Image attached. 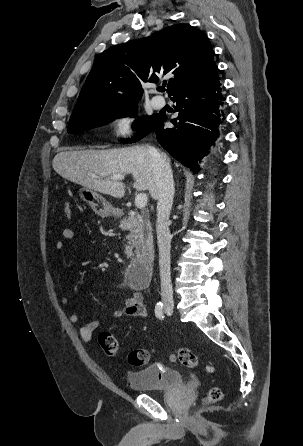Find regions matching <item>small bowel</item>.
Instances as JSON below:
<instances>
[{
  "mask_svg": "<svg viewBox=\"0 0 303 446\" xmlns=\"http://www.w3.org/2000/svg\"><path fill=\"white\" fill-rule=\"evenodd\" d=\"M62 237L64 241H70L75 237V232L71 228H65L62 231ZM64 241L59 240L55 243L56 250H62L64 248ZM132 290L131 295L125 300L123 306L117 308L112 316L115 319L122 317H148V310L143 303V296L138 289H135L130 283L126 284ZM61 302L63 304L68 303L66 295H62ZM69 322L78 325V333L80 337L88 342L92 339L95 331L100 327L101 322L98 320H92L87 322H80V318L77 314L71 313L68 317Z\"/></svg>",
  "mask_w": 303,
  "mask_h": 446,
  "instance_id": "small-bowel-1",
  "label": "small bowel"
}]
</instances>
